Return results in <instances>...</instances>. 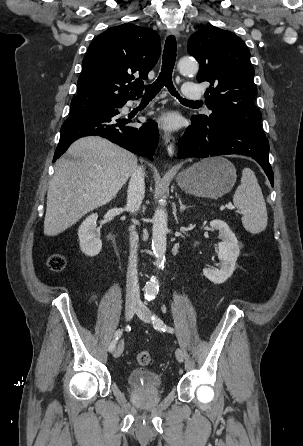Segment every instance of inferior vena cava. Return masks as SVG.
I'll list each match as a JSON object with an SVG mask.
<instances>
[{
  "label": "inferior vena cava",
  "instance_id": "obj_1",
  "mask_svg": "<svg viewBox=\"0 0 303 446\" xmlns=\"http://www.w3.org/2000/svg\"><path fill=\"white\" fill-rule=\"evenodd\" d=\"M145 194L144 172L141 167L136 168L131 174L128 191L126 209L135 213L139 210ZM138 234L135 227L130 228V255L127 269L126 281V301L138 302L140 300V290L137 272V248Z\"/></svg>",
  "mask_w": 303,
  "mask_h": 446
}]
</instances>
